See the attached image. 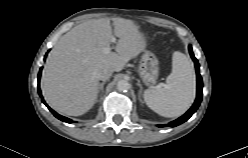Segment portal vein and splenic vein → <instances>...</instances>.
I'll return each mask as SVG.
<instances>
[{
    "mask_svg": "<svg viewBox=\"0 0 248 158\" xmlns=\"http://www.w3.org/2000/svg\"><path fill=\"white\" fill-rule=\"evenodd\" d=\"M111 40H112L113 43L116 42V38L115 37H112ZM103 51H104L105 54H108L111 51V47L110 46L109 47H105Z\"/></svg>",
    "mask_w": 248,
    "mask_h": 158,
    "instance_id": "1",
    "label": "portal vein and splenic vein"
}]
</instances>
